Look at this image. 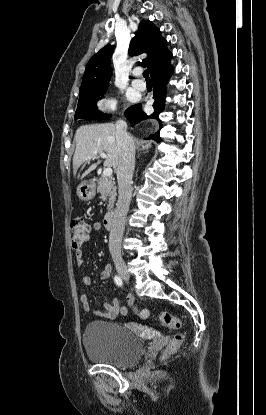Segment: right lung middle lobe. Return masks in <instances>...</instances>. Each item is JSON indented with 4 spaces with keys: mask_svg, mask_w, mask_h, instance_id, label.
<instances>
[{
    "mask_svg": "<svg viewBox=\"0 0 266 415\" xmlns=\"http://www.w3.org/2000/svg\"><path fill=\"white\" fill-rule=\"evenodd\" d=\"M104 91H98L86 96L79 97L77 110L75 113V120L77 119H107L110 116L105 114H100L96 110V102L98 101L99 97L103 95Z\"/></svg>",
    "mask_w": 266,
    "mask_h": 415,
    "instance_id": "right-lung-middle-lobe-1",
    "label": "right lung middle lobe"
}]
</instances>
